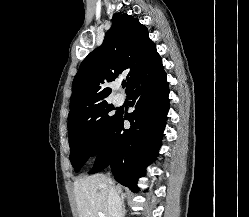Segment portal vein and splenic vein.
<instances>
[{"label":"portal vein and splenic vein","mask_w":249,"mask_h":217,"mask_svg":"<svg viewBox=\"0 0 249 217\" xmlns=\"http://www.w3.org/2000/svg\"><path fill=\"white\" fill-rule=\"evenodd\" d=\"M99 217H106L102 212H98Z\"/></svg>","instance_id":"1"}]
</instances>
